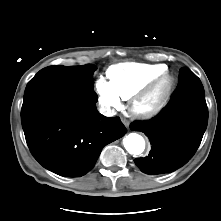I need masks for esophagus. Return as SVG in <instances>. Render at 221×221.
<instances>
[{"mask_svg":"<svg viewBox=\"0 0 221 221\" xmlns=\"http://www.w3.org/2000/svg\"><path fill=\"white\" fill-rule=\"evenodd\" d=\"M122 122L125 125L126 128H129V121L125 118H122Z\"/></svg>","mask_w":221,"mask_h":221,"instance_id":"1","label":"esophagus"}]
</instances>
